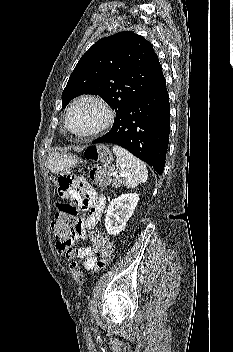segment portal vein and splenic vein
Listing matches in <instances>:
<instances>
[{
    "instance_id": "1",
    "label": "portal vein and splenic vein",
    "mask_w": 233,
    "mask_h": 352,
    "mask_svg": "<svg viewBox=\"0 0 233 352\" xmlns=\"http://www.w3.org/2000/svg\"><path fill=\"white\" fill-rule=\"evenodd\" d=\"M112 176H113V177H118L117 172H113V173H112Z\"/></svg>"
}]
</instances>
